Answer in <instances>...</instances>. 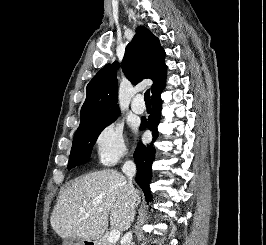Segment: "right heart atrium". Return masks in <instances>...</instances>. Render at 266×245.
<instances>
[{
    "mask_svg": "<svg viewBox=\"0 0 266 245\" xmlns=\"http://www.w3.org/2000/svg\"><path fill=\"white\" fill-rule=\"evenodd\" d=\"M97 162L104 167H112L128 155L123 127L111 122L103 126L94 138Z\"/></svg>",
    "mask_w": 266,
    "mask_h": 245,
    "instance_id": "right-heart-atrium-1",
    "label": "right heart atrium"
}]
</instances>
